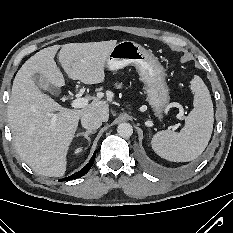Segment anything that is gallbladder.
<instances>
[{
    "instance_id": "bac80fb5",
    "label": "gallbladder",
    "mask_w": 233,
    "mask_h": 233,
    "mask_svg": "<svg viewBox=\"0 0 233 233\" xmlns=\"http://www.w3.org/2000/svg\"><path fill=\"white\" fill-rule=\"evenodd\" d=\"M35 83L42 89H50V83L43 79L39 74L33 76Z\"/></svg>"
}]
</instances>
